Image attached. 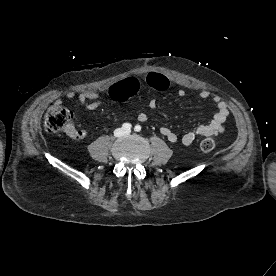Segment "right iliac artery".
I'll return each instance as SVG.
<instances>
[{
  "mask_svg": "<svg viewBox=\"0 0 276 276\" xmlns=\"http://www.w3.org/2000/svg\"><path fill=\"white\" fill-rule=\"evenodd\" d=\"M131 127H132V125L130 123H124L122 125V128L126 131H130Z\"/></svg>",
  "mask_w": 276,
  "mask_h": 276,
  "instance_id": "right-iliac-artery-1",
  "label": "right iliac artery"
}]
</instances>
